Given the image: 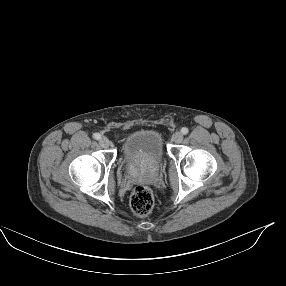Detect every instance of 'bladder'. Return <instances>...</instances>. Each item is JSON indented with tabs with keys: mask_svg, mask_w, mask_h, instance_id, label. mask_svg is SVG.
<instances>
[{
	"mask_svg": "<svg viewBox=\"0 0 286 286\" xmlns=\"http://www.w3.org/2000/svg\"><path fill=\"white\" fill-rule=\"evenodd\" d=\"M166 156L162 134L155 129L133 132L123 143L121 159L131 166L156 167Z\"/></svg>",
	"mask_w": 286,
	"mask_h": 286,
	"instance_id": "31cf9c89",
	"label": "bladder"
}]
</instances>
